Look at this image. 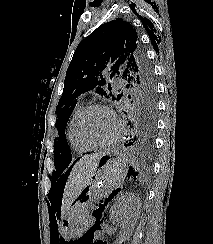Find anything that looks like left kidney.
<instances>
[{
	"mask_svg": "<svg viewBox=\"0 0 213 244\" xmlns=\"http://www.w3.org/2000/svg\"><path fill=\"white\" fill-rule=\"evenodd\" d=\"M138 205V198L133 193H127L113 205L110 218L123 229L130 231L137 220Z\"/></svg>",
	"mask_w": 213,
	"mask_h": 244,
	"instance_id": "1",
	"label": "left kidney"
}]
</instances>
